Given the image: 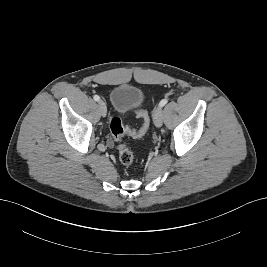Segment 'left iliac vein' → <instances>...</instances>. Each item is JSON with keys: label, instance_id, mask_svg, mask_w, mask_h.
Returning a JSON list of instances; mask_svg holds the SVG:
<instances>
[{"label": "left iliac vein", "instance_id": "4c4485c4", "mask_svg": "<svg viewBox=\"0 0 267 267\" xmlns=\"http://www.w3.org/2000/svg\"><path fill=\"white\" fill-rule=\"evenodd\" d=\"M153 121L156 127H161L163 123V111L162 107H157L153 113Z\"/></svg>", "mask_w": 267, "mask_h": 267}]
</instances>
